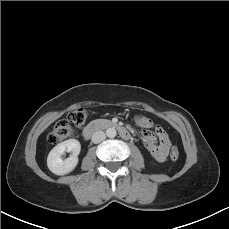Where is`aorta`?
Segmentation results:
<instances>
[{"label": "aorta", "mask_w": 229, "mask_h": 229, "mask_svg": "<svg viewBox=\"0 0 229 229\" xmlns=\"http://www.w3.org/2000/svg\"><path fill=\"white\" fill-rule=\"evenodd\" d=\"M106 135L109 138H114L117 135V132H116L115 128H108L106 130Z\"/></svg>", "instance_id": "obj_1"}]
</instances>
